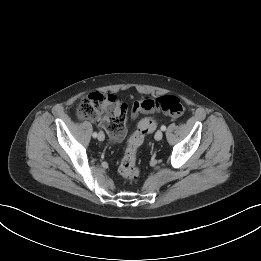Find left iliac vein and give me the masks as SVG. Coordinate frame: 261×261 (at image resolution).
I'll list each match as a JSON object with an SVG mask.
<instances>
[{"label": "left iliac vein", "mask_w": 261, "mask_h": 261, "mask_svg": "<svg viewBox=\"0 0 261 261\" xmlns=\"http://www.w3.org/2000/svg\"><path fill=\"white\" fill-rule=\"evenodd\" d=\"M155 140H157V141H159V140H161L162 139V137H163V133H162V131L161 130H158L156 133H155Z\"/></svg>", "instance_id": "1"}]
</instances>
